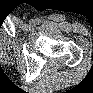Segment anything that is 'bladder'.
I'll return each mask as SVG.
<instances>
[{
  "label": "bladder",
  "mask_w": 93,
  "mask_h": 93,
  "mask_svg": "<svg viewBox=\"0 0 93 93\" xmlns=\"http://www.w3.org/2000/svg\"><path fill=\"white\" fill-rule=\"evenodd\" d=\"M0 43H1L2 45H6L7 39H1V40H0Z\"/></svg>",
  "instance_id": "31cf9c89"
}]
</instances>
